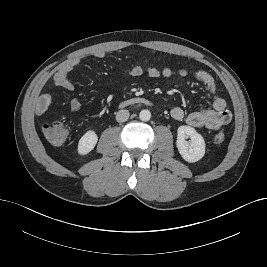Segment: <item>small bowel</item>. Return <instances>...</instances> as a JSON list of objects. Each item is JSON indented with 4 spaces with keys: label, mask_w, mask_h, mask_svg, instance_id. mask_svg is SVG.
Here are the masks:
<instances>
[{
    "label": "small bowel",
    "mask_w": 267,
    "mask_h": 267,
    "mask_svg": "<svg viewBox=\"0 0 267 267\" xmlns=\"http://www.w3.org/2000/svg\"><path fill=\"white\" fill-rule=\"evenodd\" d=\"M97 58H104L105 53L99 51L95 54ZM80 64V59L74 58L67 63H65L62 67H60L55 75H54V84L57 88L64 91L73 90V84L69 80V74ZM145 64H139L133 66L137 70L138 73L133 75L132 77H139L143 75V70L145 69ZM177 74L179 76L185 77L188 75L186 69H179L177 71L174 70L173 73L169 75H164L161 73L149 74V77H160V76H172ZM194 78L202 84L205 90L213 97V103L211 108H203L194 112L185 115L184 110L181 107H174L170 111V115L175 120L186 119L188 125L200 128L205 127L211 130H217L223 125H226L231 120V112L227 109L226 101L219 96L218 85L214 77L206 70L196 69L193 72ZM53 99L49 94H45L41 97L38 105H37V113H44L49 105L52 103ZM82 106V103L79 99H72L70 102V109L72 111H78Z\"/></svg>",
    "instance_id": "small-bowel-1"
}]
</instances>
